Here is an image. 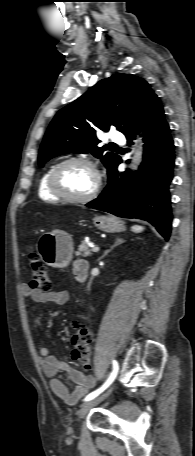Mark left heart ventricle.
<instances>
[{
	"mask_svg": "<svg viewBox=\"0 0 195 456\" xmlns=\"http://www.w3.org/2000/svg\"><path fill=\"white\" fill-rule=\"evenodd\" d=\"M59 183L69 195L85 196L91 192L95 185V175L87 165L72 163L60 172Z\"/></svg>",
	"mask_w": 195,
	"mask_h": 456,
	"instance_id": "b2bd125f",
	"label": "left heart ventricle"
}]
</instances>
